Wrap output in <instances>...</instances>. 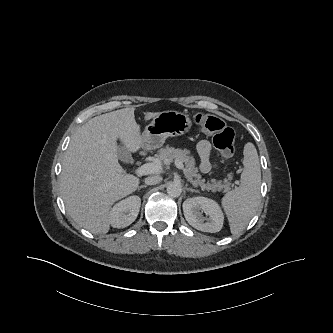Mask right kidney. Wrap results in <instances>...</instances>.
Listing matches in <instances>:
<instances>
[{
	"instance_id": "right-kidney-1",
	"label": "right kidney",
	"mask_w": 333,
	"mask_h": 333,
	"mask_svg": "<svg viewBox=\"0 0 333 333\" xmlns=\"http://www.w3.org/2000/svg\"><path fill=\"white\" fill-rule=\"evenodd\" d=\"M141 206L138 196H130L117 203L110 211L109 221L114 228H125L137 218Z\"/></svg>"
}]
</instances>
